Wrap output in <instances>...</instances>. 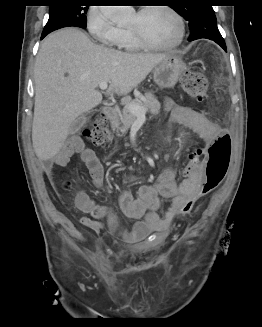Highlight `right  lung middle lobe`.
<instances>
[{"label":"right lung middle lobe","mask_w":262,"mask_h":327,"mask_svg":"<svg viewBox=\"0 0 262 327\" xmlns=\"http://www.w3.org/2000/svg\"><path fill=\"white\" fill-rule=\"evenodd\" d=\"M50 6L49 20L43 33H50L62 27L76 26L85 28L86 12L89 6H79L76 0H55Z\"/></svg>","instance_id":"right-lung-middle-lobe-1"}]
</instances>
